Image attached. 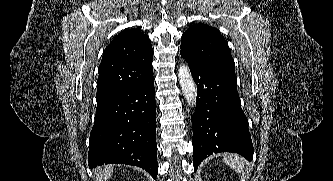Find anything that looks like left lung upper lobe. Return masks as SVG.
Instances as JSON below:
<instances>
[{"instance_id": "obj_1", "label": "left lung upper lobe", "mask_w": 333, "mask_h": 181, "mask_svg": "<svg viewBox=\"0 0 333 181\" xmlns=\"http://www.w3.org/2000/svg\"><path fill=\"white\" fill-rule=\"evenodd\" d=\"M180 53L187 58L236 78L235 63L220 32L206 24L192 25L183 35Z\"/></svg>"}]
</instances>
